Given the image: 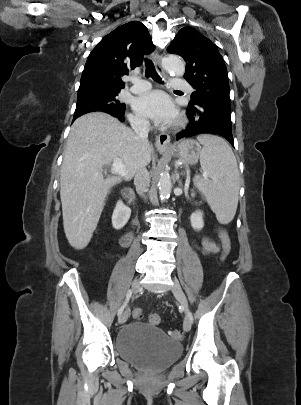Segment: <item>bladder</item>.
<instances>
[{"instance_id":"31cf9c89","label":"bladder","mask_w":301,"mask_h":405,"mask_svg":"<svg viewBox=\"0 0 301 405\" xmlns=\"http://www.w3.org/2000/svg\"><path fill=\"white\" fill-rule=\"evenodd\" d=\"M115 349L127 362L140 368L159 371L167 368L180 356L182 347L155 326L131 322L117 333Z\"/></svg>"}]
</instances>
